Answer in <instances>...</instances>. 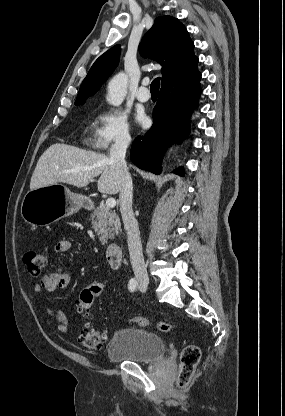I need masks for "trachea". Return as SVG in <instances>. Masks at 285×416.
Listing matches in <instances>:
<instances>
[{
  "mask_svg": "<svg viewBox=\"0 0 285 416\" xmlns=\"http://www.w3.org/2000/svg\"><path fill=\"white\" fill-rule=\"evenodd\" d=\"M159 86H160V77H157L151 83L150 91L151 92H159Z\"/></svg>",
  "mask_w": 285,
  "mask_h": 416,
  "instance_id": "1",
  "label": "trachea"
}]
</instances>
